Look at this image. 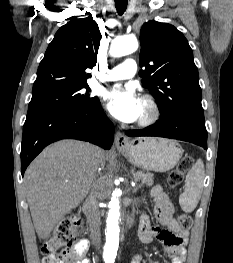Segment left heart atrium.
Listing matches in <instances>:
<instances>
[{
  "label": "left heart atrium",
  "mask_w": 233,
  "mask_h": 263,
  "mask_svg": "<svg viewBox=\"0 0 233 263\" xmlns=\"http://www.w3.org/2000/svg\"><path fill=\"white\" fill-rule=\"evenodd\" d=\"M106 107L118 120L131 123L136 121L142 112V99L131 87L117 85L106 95Z\"/></svg>",
  "instance_id": "39dd6f15"
}]
</instances>
